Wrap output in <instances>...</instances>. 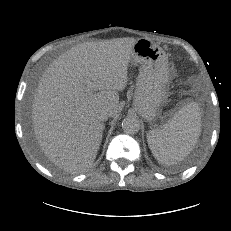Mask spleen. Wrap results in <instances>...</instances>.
Listing matches in <instances>:
<instances>
[{"mask_svg": "<svg viewBox=\"0 0 231 231\" xmlns=\"http://www.w3.org/2000/svg\"><path fill=\"white\" fill-rule=\"evenodd\" d=\"M201 133L199 105H184L162 127L147 133V142L160 164L173 165L182 161L193 150Z\"/></svg>", "mask_w": 231, "mask_h": 231, "instance_id": "1", "label": "spleen"}]
</instances>
